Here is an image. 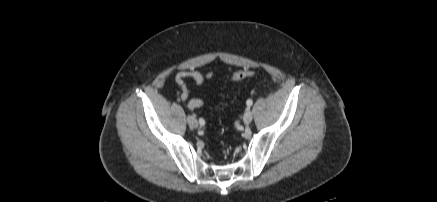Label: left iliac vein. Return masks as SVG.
Returning <instances> with one entry per match:
<instances>
[{
	"label": "left iliac vein",
	"mask_w": 437,
	"mask_h": 202,
	"mask_svg": "<svg viewBox=\"0 0 437 202\" xmlns=\"http://www.w3.org/2000/svg\"><path fill=\"white\" fill-rule=\"evenodd\" d=\"M252 118H253L252 112H251L250 110H247V111L244 113V116H243V122H244L246 125H248V124H250V122L252 121Z\"/></svg>",
	"instance_id": "left-iliac-vein-1"
}]
</instances>
